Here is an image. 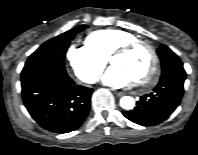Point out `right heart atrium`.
I'll list each match as a JSON object with an SVG mask.
<instances>
[{
  "instance_id": "1",
  "label": "right heart atrium",
  "mask_w": 198,
  "mask_h": 155,
  "mask_svg": "<svg viewBox=\"0 0 198 155\" xmlns=\"http://www.w3.org/2000/svg\"><path fill=\"white\" fill-rule=\"evenodd\" d=\"M66 60L73 75L85 83H94L106 65V59L89 45H71Z\"/></svg>"
}]
</instances>
